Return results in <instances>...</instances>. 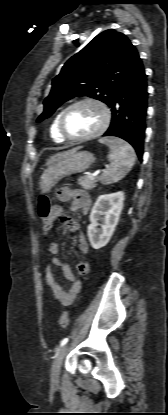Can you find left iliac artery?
<instances>
[{
  "mask_svg": "<svg viewBox=\"0 0 168 415\" xmlns=\"http://www.w3.org/2000/svg\"><path fill=\"white\" fill-rule=\"evenodd\" d=\"M67 342H68V338L66 337L61 341L60 347H63Z\"/></svg>",
  "mask_w": 168,
  "mask_h": 415,
  "instance_id": "left-iliac-artery-1",
  "label": "left iliac artery"
}]
</instances>
